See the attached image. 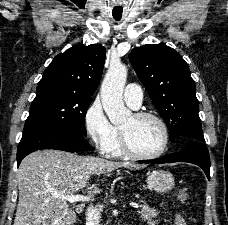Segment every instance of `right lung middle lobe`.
<instances>
[{
    "label": "right lung middle lobe",
    "instance_id": "1",
    "mask_svg": "<svg viewBox=\"0 0 228 225\" xmlns=\"http://www.w3.org/2000/svg\"><path fill=\"white\" fill-rule=\"evenodd\" d=\"M91 101L90 95L68 88L55 85L37 87L24 128L54 125L86 135L85 116Z\"/></svg>",
    "mask_w": 228,
    "mask_h": 225
}]
</instances>
